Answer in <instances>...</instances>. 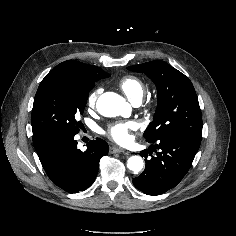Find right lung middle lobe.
I'll list each match as a JSON object with an SVG mask.
<instances>
[{
    "label": "right lung middle lobe",
    "mask_w": 236,
    "mask_h": 236,
    "mask_svg": "<svg viewBox=\"0 0 236 236\" xmlns=\"http://www.w3.org/2000/svg\"><path fill=\"white\" fill-rule=\"evenodd\" d=\"M94 84H85L64 72H53L41 81L34 98L31 124L35 134L58 133L75 135L81 122L90 90Z\"/></svg>",
    "instance_id": "right-lung-middle-lobe-1"
}]
</instances>
